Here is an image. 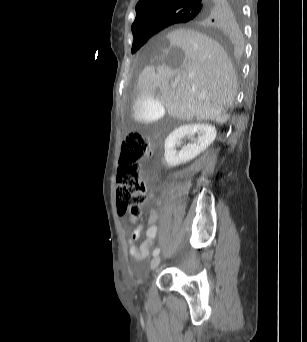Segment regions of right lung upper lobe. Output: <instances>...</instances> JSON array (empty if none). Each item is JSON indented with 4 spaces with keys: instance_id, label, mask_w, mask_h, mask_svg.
I'll return each instance as SVG.
<instances>
[{
    "instance_id": "obj_1",
    "label": "right lung upper lobe",
    "mask_w": 307,
    "mask_h": 342,
    "mask_svg": "<svg viewBox=\"0 0 307 342\" xmlns=\"http://www.w3.org/2000/svg\"><path fill=\"white\" fill-rule=\"evenodd\" d=\"M232 0H139L132 33L164 29L167 18L176 12L192 9L197 14L189 22L199 31L215 38H227L231 32ZM176 24V23H175Z\"/></svg>"
}]
</instances>
